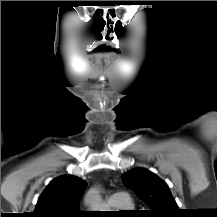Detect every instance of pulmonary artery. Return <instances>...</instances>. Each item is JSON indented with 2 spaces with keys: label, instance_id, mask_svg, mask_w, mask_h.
<instances>
[{
  "label": "pulmonary artery",
  "instance_id": "obj_1",
  "mask_svg": "<svg viewBox=\"0 0 217 217\" xmlns=\"http://www.w3.org/2000/svg\"><path fill=\"white\" fill-rule=\"evenodd\" d=\"M109 205L113 207H120L122 205L128 204L130 199L127 193L123 191H118L110 195L107 199Z\"/></svg>",
  "mask_w": 217,
  "mask_h": 217
}]
</instances>
